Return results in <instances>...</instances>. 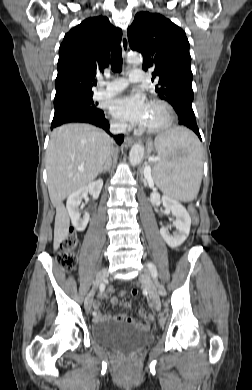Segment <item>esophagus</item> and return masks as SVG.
I'll return each mask as SVG.
<instances>
[{
    "label": "esophagus",
    "mask_w": 252,
    "mask_h": 390,
    "mask_svg": "<svg viewBox=\"0 0 252 390\" xmlns=\"http://www.w3.org/2000/svg\"><path fill=\"white\" fill-rule=\"evenodd\" d=\"M121 47L123 51V55L126 56L129 48L128 38L126 31L123 33L122 41H121ZM134 140L130 136H126L124 139V145L126 147H129L133 144Z\"/></svg>",
    "instance_id": "obj_1"
}]
</instances>
